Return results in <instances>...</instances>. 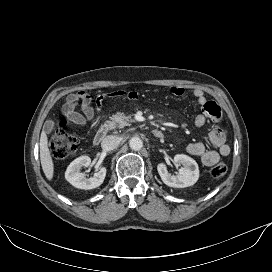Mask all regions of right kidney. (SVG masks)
Segmentation results:
<instances>
[{"label":"right kidney","mask_w":272,"mask_h":272,"mask_svg":"<svg viewBox=\"0 0 272 272\" xmlns=\"http://www.w3.org/2000/svg\"><path fill=\"white\" fill-rule=\"evenodd\" d=\"M91 164V159L88 156H81L70 163L65 172L66 180L74 187L79 189H93L100 186L106 176V168L102 167L94 174L93 177L87 178L86 175L80 172L81 167H88Z\"/></svg>","instance_id":"ca27d5eb"}]
</instances>
